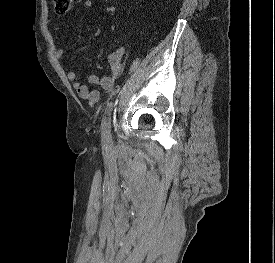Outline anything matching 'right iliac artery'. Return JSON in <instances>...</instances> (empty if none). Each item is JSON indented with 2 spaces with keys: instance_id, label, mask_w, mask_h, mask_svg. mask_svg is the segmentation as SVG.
Returning <instances> with one entry per match:
<instances>
[{
  "instance_id": "right-iliac-artery-1",
  "label": "right iliac artery",
  "mask_w": 275,
  "mask_h": 263,
  "mask_svg": "<svg viewBox=\"0 0 275 263\" xmlns=\"http://www.w3.org/2000/svg\"><path fill=\"white\" fill-rule=\"evenodd\" d=\"M139 65V60L134 61L130 73L135 71ZM111 116H112V102L107 105L105 110V115L102 120V136L105 141H110L111 133H110V124H111Z\"/></svg>"
}]
</instances>
